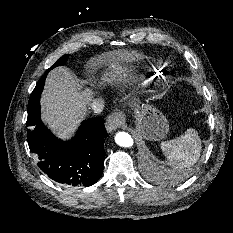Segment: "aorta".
Masks as SVG:
<instances>
[{"label":"aorta","mask_w":233,"mask_h":233,"mask_svg":"<svg viewBox=\"0 0 233 233\" xmlns=\"http://www.w3.org/2000/svg\"><path fill=\"white\" fill-rule=\"evenodd\" d=\"M115 142L121 147H131L133 145V138L126 132H118L115 135Z\"/></svg>","instance_id":"aorta-1"}]
</instances>
